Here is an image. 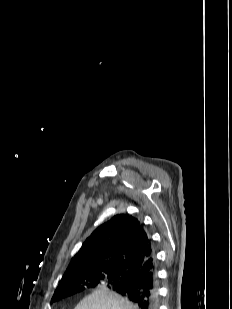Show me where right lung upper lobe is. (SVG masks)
<instances>
[{"mask_svg":"<svg viewBox=\"0 0 232 309\" xmlns=\"http://www.w3.org/2000/svg\"><path fill=\"white\" fill-rule=\"evenodd\" d=\"M154 255L151 240L140 221L119 214L96 228L82 244L60 283L86 271L126 272Z\"/></svg>","mask_w":232,"mask_h":309,"instance_id":"right-lung-upper-lobe-1","label":"right lung upper lobe"}]
</instances>
